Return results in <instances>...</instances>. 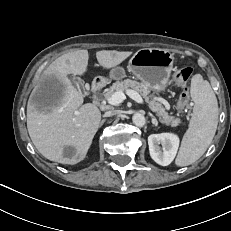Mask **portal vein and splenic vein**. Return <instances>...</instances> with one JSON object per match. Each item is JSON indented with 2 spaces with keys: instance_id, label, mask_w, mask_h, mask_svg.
<instances>
[{
  "instance_id": "obj_1",
  "label": "portal vein and splenic vein",
  "mask_w": 231,
  "mask_h": 231,
  "mask_svg": "<svg viewBox=\"0 0 231 231\" xmlns=\"http://www.w3.org/2000/svg\"><path fill=\"white\" fill-rule=\"evenodd\" d=\"M127 95L133 99L134 101H136L139 104H144V100L142 99V97L134 90H127ZM126 99L125 94L122 91H118L115 92L113 95H111L108 99L107 102L110 105H118L120 103H122L124 100Z\"/></svg>"
}]
</instances>
